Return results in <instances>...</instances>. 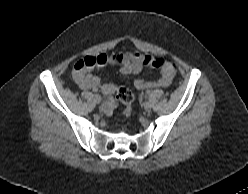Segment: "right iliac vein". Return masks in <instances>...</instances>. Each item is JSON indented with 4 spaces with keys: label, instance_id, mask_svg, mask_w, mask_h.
I'll use <instances>...</instances> for the list:
<instances>
[{
    "label": "right iliac vein",
    "instance_id": "1",
    "mask_svg": "<svg viewBox=\"0 0 248 194\" xmlns=\"http://www.w3.org/2000/svg\"><path fill=\"white\" fill-rule=\"evenodd\" d=\"M95 102L97 104L101 103V97L99 95H95Z\"/></svg>",
    "mask_w": 248,
    "mask_h": 194
}]
</instances>
